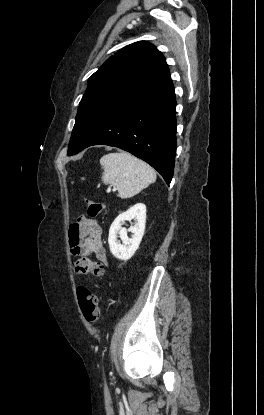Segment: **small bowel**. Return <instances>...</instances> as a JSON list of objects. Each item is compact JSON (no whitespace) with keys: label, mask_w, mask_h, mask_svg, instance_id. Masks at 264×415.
I'll return each instance as SVG.
<instances>
[{"label":"small bowel","mask_w":264,"mask_h":415,"mask_svg":"<svg viewBox=\"0 0 264 415\" xmlns=\"http://www.w3.org/2000/svg\"><path fill=\"white\" fill-rule=\"evenodd\" d=\"M69 244L73 252L82 257L95 256L102 267L108 258L102 242V229L98 222L89 218H79L69 230Z\"/></svg>","instance_id":"small-bowel-1"}]
</instances>
